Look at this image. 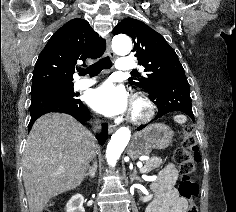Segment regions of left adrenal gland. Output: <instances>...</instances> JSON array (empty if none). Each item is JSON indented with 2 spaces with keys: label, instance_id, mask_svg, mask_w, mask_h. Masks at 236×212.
<instances>
[{
  "label": "left adrenal gland",
  "instance_id": "a2214340",
  "mask_svg": "<svg viewBox=\"0 0 236 212\" xmlns=\"http://www.w3.org/2000/svg\"><path fill=\"white\" fill-rule=\"evenodd\" d=\"M130 179H131V182H133V180L141 181L140 177L137 176V172L135 169L133 173L130 175Z\"/></svg>",
  "mask_w": 236,
  "mask_h": 212
}]
</instances>
